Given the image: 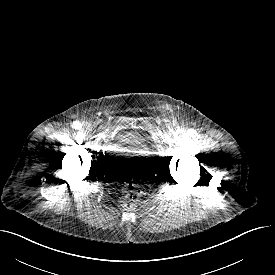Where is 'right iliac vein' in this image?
Segmentation results:
<instances>
[{
  "mask_svg": "<svg viewBox=\"0 0 275 275\" xmlns=\"http://www.w3.org/2000/svg\"><path fill=\"white\" fill-rule=\"evenodd\" d=\"M90 127V125L88 124H83V126L81 127L82 129H88Z\"/></svg>",
  "mask_w": 275,
  "mask_h": 275,
  "instance_id": "right-iliac-vein-1",
  "label": "right iliac vein"
}]
</instances>
